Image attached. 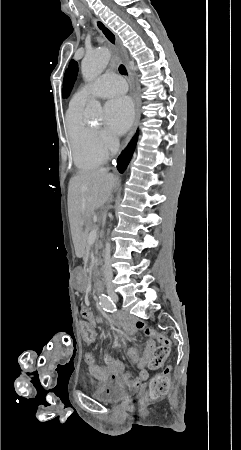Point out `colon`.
I'll list each match as a JSON object with an SVG mask.
<instances>
[{"instance_id": "colon-1", "label": "colon", "mask_w": 241, "mask_h": 450, "mask_svg": "<svg viewBox=\"0 0 241 450\" xmlns=\"http://www.w3.org/2000/svg\"><path fill=\"white\" fill-rule=\"evenodd\" d=\"M97 336V333L93 331V327L91 325L81 326L79 328V341L84 342V347L86 349H91L93 347V342L96 340ZM168 354L169 349L166 346L158 347L153 356V369H159L163 359H165ZM167 368L150 381L145 393V399L147 402L158 401L168 392L170 384L169 370L172 367L169 365Z\"/></svg>"}]
</instances>
